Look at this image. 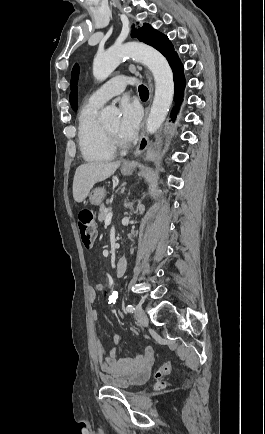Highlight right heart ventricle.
Instances as JSON below:
<instances>
[{"label":"right heart ventricle","instance_id":"right-heart-ventricle-1","mask_svg":"<svg viewBox=\"0 0 265 434\" xmlns=\"http://www.w3.org/2000/svg\"><path fill=\"white\" fill-rule=\"evenodd\" d=\"M101 105L84 101L77 112L78 143L84 160L89 164H100L115 157L114 145L97 114Z\"/></svg>","mask_w":265,"mask_h":434}]
</instances>
